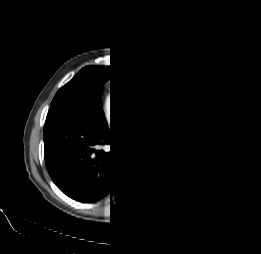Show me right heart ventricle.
Masks as SVG:
<instances>
[{
  "instance_id": "1",
  "label": "right heart ventricle",
  "mask_w": 261,
  "mask_h": 254,
  "mask_svg": "<svg viewBox=\"0 0 261 254\" xmlns=\"http://www.w3.org/2000/svg\"><path fill=\"white\" fill-rule=\"evenodd\" d=\"M135 103H139V100H138V98H137V99H135Z\"/></svg>"
}]
</instances>
